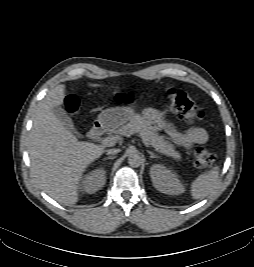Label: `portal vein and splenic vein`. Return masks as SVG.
Listing matches in <instances>:
<instances>
[{"instance_id":"18ae733b","label":"portal vein and splenic vein","mask_w":254,"mask_h":267,"mask_svg":"<svg viewBox=\"0 0 254 267\" xmlns=\"http://www.w3.org/2000/svg\"><path fill=\"white\" fill-rule=\"evenodd\" d=\"M102 143H103V145H105V146H113V145H115L116 140H115L114 137H106V138H104V139L102 140ZM143 143H144L145 145H149V144L146 142L145 139H143Z\"/></svg>"}]
</instances>
